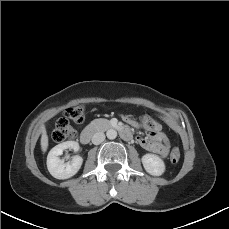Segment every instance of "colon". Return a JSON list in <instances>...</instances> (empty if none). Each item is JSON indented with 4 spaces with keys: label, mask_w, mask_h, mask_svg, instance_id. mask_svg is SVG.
Instances as JSON below:
<instances>
[{
    "label": "colon",
    "mask_w": 229,
    "mask_h": 229,
    "mask_svg": "<svg viewBox=\"0 0 229 229\" xmlns=\"http://www.w3.org/2000/svg\"><path fill=\"white\" fill-rule=\"evenodd\" d=\"M68 118H70L76 124H81L84 121V107L81 105H76L68 108L66 112ZM145 127L147 129L153 128V122H145ZM76 135V130L72 127L69 120L66 118H60L57 120L55 127L52 131V139L55 142H63L74 138ZM181 158L180 149L175 147L172 149L170 154V160L172 163H177Z\"/></svg>",
    "instance_id": "obj_1"
}]
</instances>
